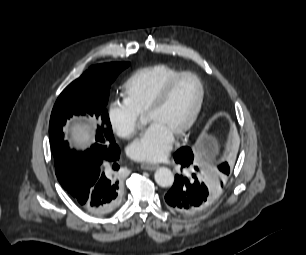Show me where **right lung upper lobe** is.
Segmentation results:
<instances>
[{
    "label": "right lung upper lobe",
    "instance_id": "1",
    "mask_svg": "<svg viewBox=\"0 0 306 255\" xmlns=\"http://www.w3.org/2000/svg\"><path fill=\"white\" fill-rule=\"evenodd\" d=\"M72 166L74 167L75 166V163L72 164ZM65 190H69L70 189V186H67V187H64Z\"/></svg>",
    "mask_w": 306,
    "mask_h": 255
}]
</instances>
